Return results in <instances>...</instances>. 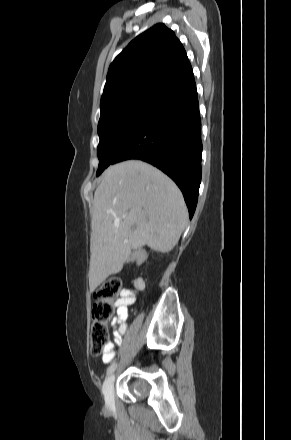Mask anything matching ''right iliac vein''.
<instances>
[{
	"instance_id": "right-iliac-vein-1",
	"label": "right iliac vein",
	"mask_w": 291,
	"mask_h": 440,
	"mask_svg": "<svg viewBox=\"0 0 291 440\" xmlns=\"http://www.w3.org/2000/svg\"><path fill=\"white\" fill-rule=\"evenodd\" d=\"M114 382H115V376L109 375L103 385V392L105 397V402L108 406L113 405L114 401Z\"/></svg>"
}]
</instances>
